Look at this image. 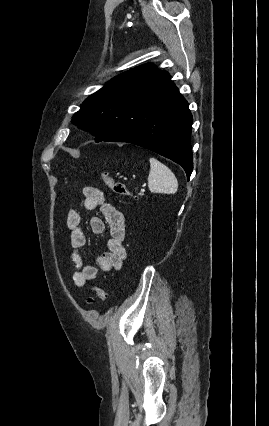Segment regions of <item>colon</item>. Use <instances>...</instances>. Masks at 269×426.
<instances>
[{
	"label": "colon",
	"instance_id": "colon-1",
	"mask_svg": "<svg viewBox=\"0 0 269 426\" xmlns=\"http://www.w3.org/2000/svg\"><path fill=\"white\" fill-rule=\"evenodd\" d=\"M100 178L103 184L109 188L113 193L122 196H131L130 191L127 189L125 184L119 181H115L107 172H101ZM105 291L99 286L92 287V295L88 298L89 304H95L102 302L105 298Z\"/></svg>",
	"mask_w": 269,
	"mask_h": 426
}]
</instances>
